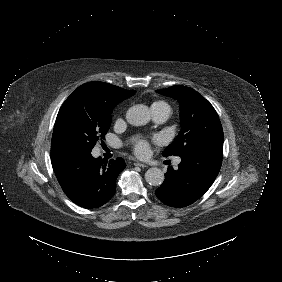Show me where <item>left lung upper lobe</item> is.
Masks as SVG:
<instances>
[{
  "mask_svg": "<svg viewBox=\"0 0 282 282\" xmlns=\"http://www.w3.org/2000/svg\"><path fill=\"white\" fill-rule=\"evenodd\" d=\"M156 92L172 97L180 103L182 129L165 149L163 156H182L203 147L223 146V129L213 106L197 91L185 86H172Z\"/></svg>",
  "mask_w": 282,
  "mask_h": 282,
  "instance_id": "left-lung-upper-lobe-1",
  "label": "left lung upper lobe"
}]
</instances>
